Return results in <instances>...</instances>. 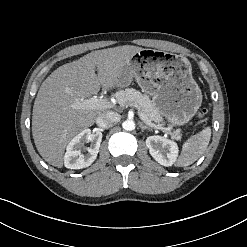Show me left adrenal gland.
Listing matches in <instances>:
<instances>
[{"label": "left adrenal gland", "instance_id": "1", "mask_svg": "<svg viewBox=\"0 0 247 247\" xmlns=\"http://www.w3.org/2000/svg\"><path fill=\"white\" fill-rule=\"evenodd\" d=\"M139 126H140V128H141V130L143 131V130H152L150 127H148V126H146V125H144L142 122H139Z\"/></svg>", "mask_w": 247, "mask_h": 247}]
</instances>
